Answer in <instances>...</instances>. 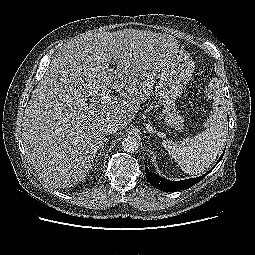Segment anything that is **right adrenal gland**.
<instances>
[{"label": "right adrenal gland", "instance_id": "obj_1", "mask_svg": "<svg viewBox=\"0 0 255 255\" xmlns=\"http://www.w3.org/2000/svg\"><path fill=\"white\" fill-rule=\"evenodd\" d=\"M109 139H110V137L104 139V142H103V144H102V146H101V149H100L99 152H98V157L101 155V153H102V151H103V149H104V145H105V143H106L107 141H109Z\"/></svg>", "mask_w": 255, "mask_h": 255}]
</instances>
